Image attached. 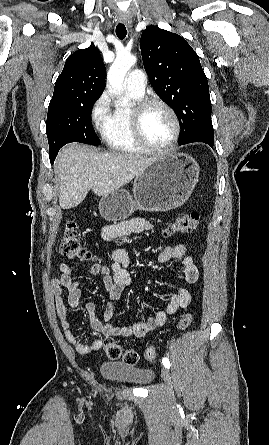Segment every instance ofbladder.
Segmentation results:
<instances>
[{"label":"bladder","mask_w":269,"mask_h":445,"mask_svg":"<svg viewBox=\"0 0 269 445\" xmlns=\"http://www.w3.org/2000/svg\"><path fill=\"white\" fill-rule=\"evenodd\" d=\"M100 373L107 380L134 386H146L154 378V372L151 369L135 368L114 360L103 362Z\"/></svg>","instance_id":"bladder-1"}]
</instances>
